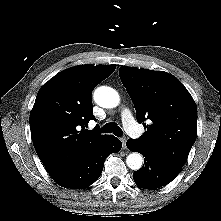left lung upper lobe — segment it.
Here are the masks:
<instances>
[{
	"label": "left lung upper lobe",
	"instance_id": "5c2ea615",
	"mask_svg": "<svg viewBox=\"0 0 221 221\" xmlns=\"http://www.w3.org/2000/svg\"><path fill=\"white\" fill-rule=\"evenodd\" d=\"M120 79L147 130L138 140L168 161L183 167L197 137L196 104L173 75L121 67ZM149 119L150 125L144 123Z\"/></svg>",
	"mask_w": 221,
	"mask_h": 221
}]
</instances>
